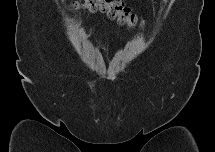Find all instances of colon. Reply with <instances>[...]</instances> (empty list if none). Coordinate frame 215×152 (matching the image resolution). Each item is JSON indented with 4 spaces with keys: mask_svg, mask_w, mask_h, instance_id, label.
<instances>
[{
    "mask_svg": "<svg viewBox=\"0 0 215 152\" xmlns=\"http://www.w3.org/2000/svg\"><path fill=\"white\" fill-rule=\"evenodd\" d=\"M77 9H87L91 12L101 11L110 18L116 19L121 25L135 28L139 25L137 16L118 0H84L75 3Z\"/></svg>",
    "mask_w": 215,
    "mask_h": 152,
    "instance_id": "obj_1",
    "label": "colon"
}]
</instances>
